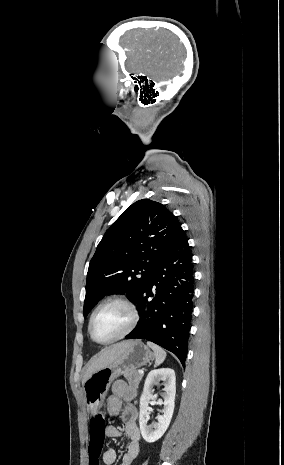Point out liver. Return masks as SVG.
<instances>
[{"instance_id": "liver-1", "label": "liver", "mask_w": 284, "mask_h": 465, "mask_svg": "<svg viewBox=\"0 0 284 465\" xmlns=\"http://www.w3.org/2000/svg\"><path fill=\"white\" fill-rule=\"evenodd\" d=\"M128 343H130V341H122V343H117V345H111V347H107L105 351L99 353V357H97V359H95V357L94 359H91L90 365H88V367L85 369L82 385H84L85 381H87V379H89L93 373H96V371H99V369L108 367L110 363H114L115 359L119 357L120 353L125 351Z\"/></svg>"}]
</instances>
